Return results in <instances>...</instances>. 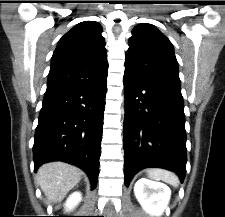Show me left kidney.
<instances>
[{"instance_id":"5707ae66","label":"left kidney","mask_w":225,"mask_h":217,"mask_svg":"<svg viewBox=\"0 0 225 217\" xmlns=\"http://www.w3.org/2000/svg\"><path fill=\"white\" fill-rule=\"evenodd\" d=\"M134 193L142 208L153 216L162 215L171 196L166 184L146 178H140L135 183Z\"/></svg>"}]
</instances>
